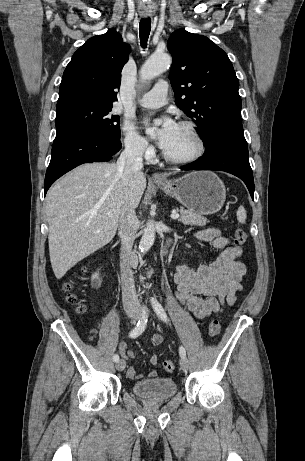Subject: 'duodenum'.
<instances>
[{
	"mask_svg": "<svg viewBox=\"0 0 305 461\" xmlns=\"http://www.w3.org/2000/svg\"><path fill=\"white\" fill-rule=\"evenodd\" d=\"M169 243H170V242H167V243L163 246V248H162V252H163V253H166Z\"/></svg>",
	"mask_w": 305,
	"mask_h": 461,
	"instance_id": "duodenum-1",
	"label": "duodenum"
}]
</instances>
